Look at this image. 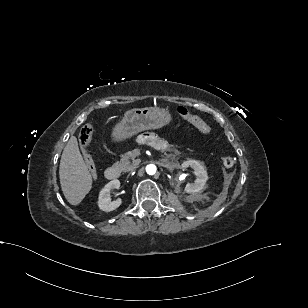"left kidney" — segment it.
Listing matches in <instances>:
<instances>
[{"instance_id":"obj_1","label":"left kidney","mask_w":308,"mask_h":308,"mask_svg":"<svg viewBox=\"0 0 308 308\" xmlns=\"http://www.w3.org/2000/svg\"><path fill=\"white\" fill-rule=\"evenodd\" d=\"M183 168L191 167L194 169V174L196 176L195 182L193 184L188 183L184 191L188 194H194L201 192L206 185L208 179L207 172L204 169L203 165L195 160H187L182 163Z\"/></svg>"}]
</instances>
